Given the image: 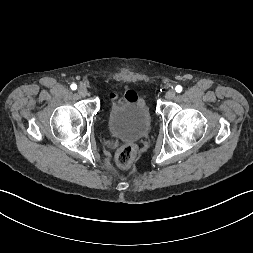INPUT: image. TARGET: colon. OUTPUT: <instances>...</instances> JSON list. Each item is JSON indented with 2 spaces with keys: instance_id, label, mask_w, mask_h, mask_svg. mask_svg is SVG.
I'll return each mask as SVG.
<instances>
[{
  "instance_id": "colon-1",
  "label": "colon",
  "mask_w": 253,
  "mask_h": 253,
  "mask_svg": "<svg viewBox=\"0 0 253 253\" xmlns=\"http://www.w3.org/2000/svg\"><path fill=\"white\" fill-rule=\"evenodd\" d=\"M134 159V146L132 144L123 145L117 152L116 163L121 169L131 167Z\"/></svg>"
}]
</instances>
